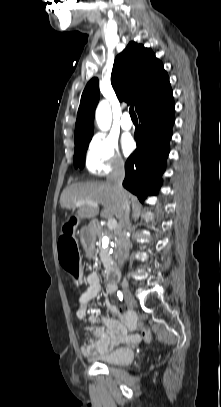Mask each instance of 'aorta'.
I'll return each mask as SVG.
<instances>
[{
	"instance_id": "aorta-1",
	"label": "aorta",
	"mask_w": 221,
	"mask_h": 407,
	"mask_svg": "<svg viewBox=\"0 0 221 407\" xmlns=\"http://www.w3.org/2000/svg\"><path fill=\"white\" fill-rule=\"evenodd\" d=\"M96 122L98 127L103 130L107 131L111 126V110L110 106L107 101H101L96 109Z\"/></svg>"
}]
</instances>
